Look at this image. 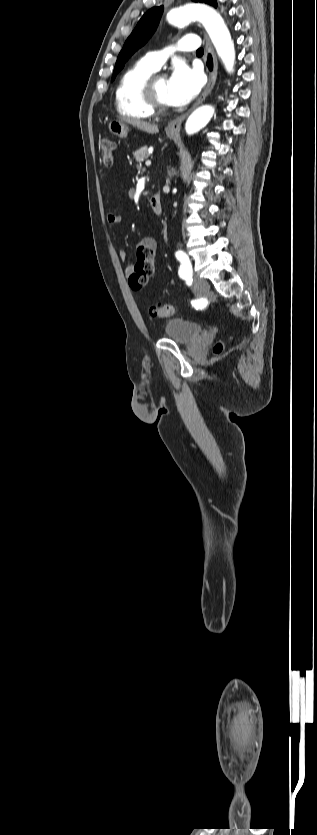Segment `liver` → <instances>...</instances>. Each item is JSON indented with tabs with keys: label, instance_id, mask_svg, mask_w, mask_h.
<instances>
[{
	"label": "liver",
	"instance_id": "1",
	"mask_svg": "<svg viewBox=\"0 0 317 835\" xmlns=\"http://www.w3.org/2000/svg\"><path fill=\"white\" fill-rule=\"evenodd\" d=\"M128 122H129L131 125H133V126H135L136 128H138L139 130L144 131V132L149 133V134H156V133L159 131L158 126H157V125H155V124H150V123H148V122H146V121H141V120H129Z\"/></svg>",
	"mask_w": 317,
	"mask_h": 835
}]
</instances>
